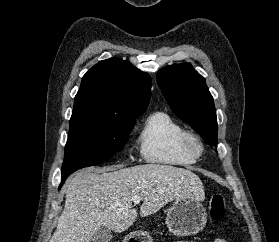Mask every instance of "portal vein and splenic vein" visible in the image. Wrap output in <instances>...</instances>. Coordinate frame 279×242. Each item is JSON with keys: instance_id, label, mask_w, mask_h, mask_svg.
I'll return each instance as SVG.
<instances>
[{"instance_id": "18ae733b", "label": "portal vein and splenic vein", "mask_w": 279, "mask_h": 242, "mask_svg": "<svg viewBox=\"0 0 279 242\" xmlns=\"http://www.w3.org/2000/svg\"><path fill=\"white\" fill-rule=\"evenodd\" d=\"M141 197L140 196H134L133 198H132V201L135 203V204H138L140 201H141Z\"/></svg>"}]
</instances>
